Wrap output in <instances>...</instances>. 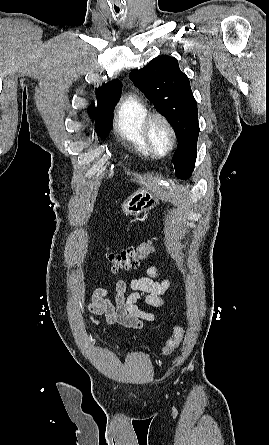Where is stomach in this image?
Listing matches in <instances>:
<instances>
[{"instance_id":"obj_1","label":"stomach","mask_w":269,"mask_h":445,"mask_svg":"<svg viewBox=\"0 0 269 445\" xmlns=\"http://www.w3.org/2000/svg\"><path fill=\"white\" fill-rule=\"evenodd\" d=\"M158 203L154 190L144 184L124 201L122 209L127 215L138 216L154 208Z\"/></svg>"}]
</instances>
